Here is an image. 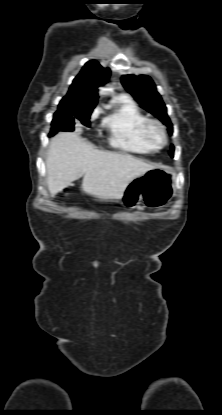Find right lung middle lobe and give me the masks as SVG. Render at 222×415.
<instances>
[{
    "label": "right lung middle lobe",
    "instance_id": "right-lung-middle-lobe-1",
    "mask_svg": "<svg viewBox=\"0 0 222 415\" xmlns=\"http://www.w3.org/2000/svg\"><path fill=\"white\" fill-rule=\"evenodd\" d=\"M93 106H72L58 108L54 114L50 135L56 134L58 131H73L75 121L79 120L82 124L90 126V115Z\"/></svg>",
    "mask_w": 222,
    "mask_h": 415
}]
</instances>
